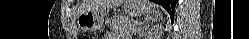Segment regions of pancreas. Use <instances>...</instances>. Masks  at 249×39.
<instances>
[{
    "instance_id": "1",
    "label": "pancreas",
    "mask_w": 249,
    "mask_h": 39,
    "mask_svg": "<svg viewBox=\"0 0 249 39\" xmlns=\"http://www.w3.org/2000/svg\"><path fill=\"white\" fill-rule=\"evenodd\" d=\"M106 24L122 39H127L128 36H130L131 31L137 28L135 25H132L129 18L125 16L109 18L106 21Z\"/></svg>"
}]
</instances>
